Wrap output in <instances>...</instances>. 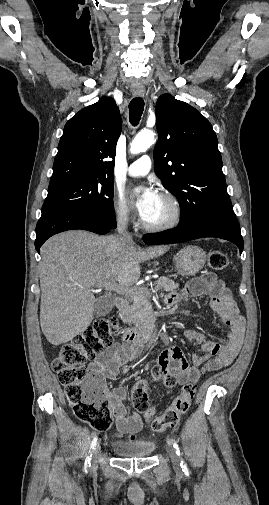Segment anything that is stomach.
<instances>
[{
  "label": "stomach",
  "mask_w": 269,
  "mask_h": 505,
  "mask_svg": "<svg viewBox=\"0 0 269 505\" xmlns=\"http://www.w3.org/2000/svg\"><path fill=\"white\" fill-rule=\"evenodd\" d=\"M175 269L182 276L195 275L206 262V253L200 247L186 246L176 255Z\"/></svg>",
  "instance_id": "1"
}]
</instances>
